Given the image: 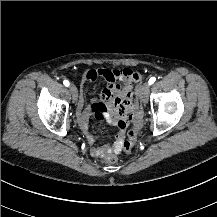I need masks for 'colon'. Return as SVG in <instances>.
Wrapping results in <instances>:
<instances>
[{
	"label": "colon",
	"mask_w": 217,
	"mask_h": 217,
	"mask_svg": "<svg viewBox=\"0 0 217 217\" xmlns=\"http://www.w3.org/2000/svg\"><path fill=\"white\" fill-rule=\"evenodd\" d=\"M141 86L142 85L140 83L134 84L133 85V90L134 91H140L141 88H142ZM135 133L136 132L133 129L128 132V136L129 137H128L127 141L125 142V144L122 146V148H123V150L125 152H130L132 150V147H133V145H134V143L136 141V135H135ZM106 161L109 164H114V163H116L117 158L114 155H109V156H107Z\"/></svg>",
	"instance_id": "colon-1"
}]
</instances>
